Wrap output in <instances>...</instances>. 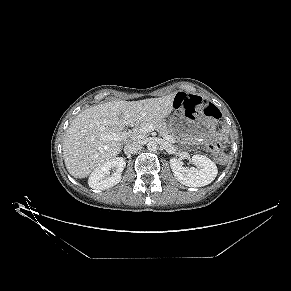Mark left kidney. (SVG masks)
Masks as SVG:
<instances>
[{
    "label": "left kidney",
    "mask_w": 291,
    "mask_h": 291,
    "mask_svg": "<svg viewBox=\"0 0 291 291\" xmlns=\"http://www.w3.org/2000/svg\"><path fill=\"white\" fill-rule=\"evenodd\" d=\"M191 162L199 169L184 167L177 158L170 159L172 172L181 184L189 187H202L210 184L217 176V166L206 156L193 155Z\"/></svg>",
    "instance_id": "left-kidney-1"
}]
</instances>
